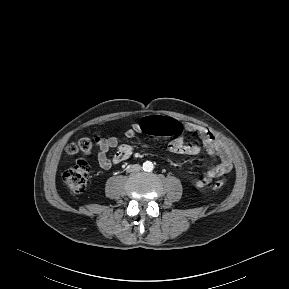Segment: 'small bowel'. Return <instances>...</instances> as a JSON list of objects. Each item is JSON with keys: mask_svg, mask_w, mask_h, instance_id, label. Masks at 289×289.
Listing matches in <instances>:
<instances>
[{"mask_svg": "<svg viewBox=\"0 0 289 289\" xmlns=\"http://www.w3.org/2000/svg\"><path fill=\"white\" fill-rule=\"evenodd\" d=\"M186 132L196 134L199 141L186 143L184 140V134ZM140 133L143 132L140 130L139 123L125 127L123 130V135L127 138H132ZM171 137L169 150L175 154L195 155L199 153L203 147L209 155L217 158L218 163L203 174L199 185L208 184L213 179L228 173L232 169V159L228 149L210 130L192 122H181V131ZM98 147L97 161L99 166L105 170L127 160L133 153V147L131 145L121 144L115 136L99 138ZM111 150H115L112 156L109 154Z\"/></svg>", "mask_w": 289, "mask_h": 289, "instance_id": "small-bowel-1", "label": "small bowel"}]
</instances>
